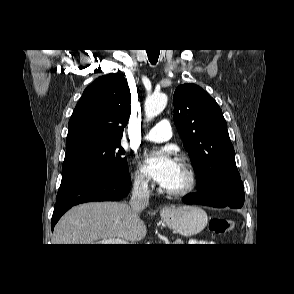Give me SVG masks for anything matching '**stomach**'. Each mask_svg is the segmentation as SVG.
I'll use <instances>...</instances> for the list:
<instances>
[{
  "mask_svg": "<svg viewBox=\"0 0 294 294\" xmlns=\"http://www.w3.org/2000/svg\"><path fill=\"white\" fill-rule=\"evenodd\" d=\"M161 217L170 229L187 237L200 233L208 222L206 212L197 206L169 207Z\"/></svg>",
  "mask_w": 294,
  "mask_h": 294,
  "instance_id": "stomach-1",
  "label": "stomach"
}]
</instances>
